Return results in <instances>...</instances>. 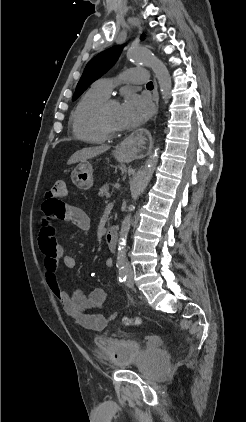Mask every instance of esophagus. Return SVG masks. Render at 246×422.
<instances>
[{
    "label": "esophagus",
    "instance_id": "34e87169",
    "mask_svg": "<svg viewBox=\"0 0 246 422\" xmlns=\"http://www.w3.org/2000/svg\"><path fill=\"white\" fill-rule=\"evenodd\" d=\"M154 101L156 104V112L158 110L159 106V94H158V88L157 83L155 81L154 83ZM146 142L144 140L138 139L137 137L131 136L129 137L125 142V148L128 152L134 153V152H140L145 147ZM149 145H153L152 138H149Z\"/></svg>",
    "mask_w": 246,
    "mask_h": 422
}]
</instances>
